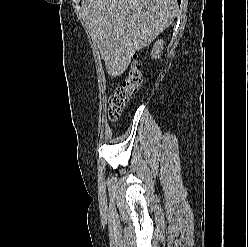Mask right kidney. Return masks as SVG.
Masks as SVG:
<instances>
[{
  "label": "right kidney",
  "mask_w": 248,
  "mask_h": 247,
  "mask_svg": "<svg viewBox=\"0 0 248 247\" xmlns=\"http://www.w3.org/2000/svg\"><path fill=\"white\" fill-rule=\"evenodd\" d=\"M164 41L162 39L155 42L153 50L151 52L153 58H159L163 50Z\"/></svg>",
  "instance_id": "1"
}]
</instances>
